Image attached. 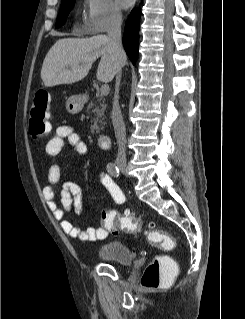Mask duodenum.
I'll use <instances>...</instances> for the list:
<instances>
[{"label":"duodenum","instance_id":"1","mask_svg":"<svg viewBox=\"0 0 245 319\" xmlns=\"http://www.w3.org/2000/svg\"><path fill=\"white\" fill-rule=\"evenodd\" d=\"M98 144L101 149H105V150L109 149L111 145L110 135L106 133L101 134L98 137Z\"/></svg>","mask_w":245,"mask_h":319}]
</instances>
